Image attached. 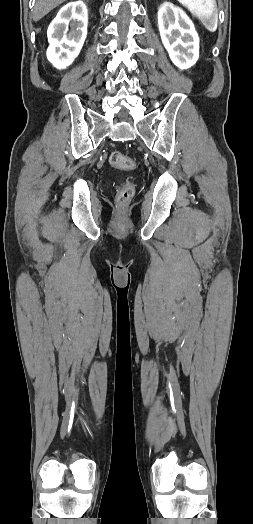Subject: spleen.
Here are the masks:
<instances>
[{"label":"spleen","mask_w":253,"mask_h":524,"mask_svg":"<svg viewBox=\"0 0 253 524\" xmlns=\"http://www.w3.org/2000/svg\"><path fill=\"white\" fill-rule=\"evenodd\" d=\"M196 16L204 27L215 32L218 25L215 0H177Z\"/></svg>","instance_id":"3e777b00"}]
</instances>
